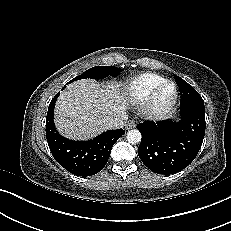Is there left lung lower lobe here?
Returning a JSON list of instances; mask_svg holds the SVG:
<instances>
[{"label":"left lung lower lobe","mask_w":231,"mask_h":231,"mask_svg":"<svg viewBox=\"0 0 231 231\" xmlns=\"http://www.w3.org/2000/svg\"><path fill=\"white\" fill-rule=\"evenodd\" d=\"M180 120L144 121L137 125L142 134L138 148L144 165L157 174H173L196 157L205 135L204 102H180Z\"/></svg>","instance_id":"0a47b994"}]
</instances>
